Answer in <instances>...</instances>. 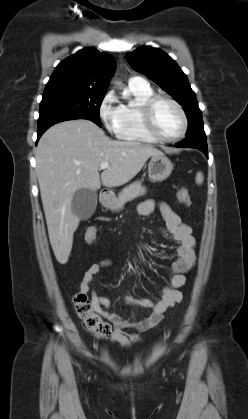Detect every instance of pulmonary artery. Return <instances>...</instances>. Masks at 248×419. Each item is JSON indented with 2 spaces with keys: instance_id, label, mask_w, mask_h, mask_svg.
Listing matches in <instances>:
<instances>
[{
  "instance_id": "pulmonary-artery-1",
  "label": "pulmonary artery",
  "mask_w": 248,
  "mask_h": 419,
  "mask_svg": "<svg viewBox=\"0 0 248 419\" xmlns=\"http://www.w3.org/2000/svg\"><path fill=\"white\" fill-rule=\"evenodd\" d=\"M128 85L129 86H135V87H144V86H147L148 83L142 77L133 76V77L129 78Z\"/></svg>"
}]
</instances>
